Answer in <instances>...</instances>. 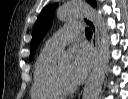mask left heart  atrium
Returning a JSON list of instances; mask_svg holds the SVG:
<instances>
[{
    "instance_id": "1",
    "label": "left heart atrium",
    "mask_w": 128,
    "mask_h": 99,
    "mask_svg": "<svg viewBox=\"0 0 128 99\" xmlns=\"http://www.w3.org/2000/svg\"><path fill=\"white\" fill-rule=\"evenodd\" d=\"M91 56L87 49H76L70 67V76L74 83L81 82L87 75Z\"/></svg>"
}]
</instances>
